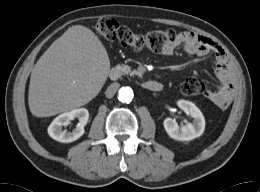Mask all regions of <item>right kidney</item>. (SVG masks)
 <instances>
[{"instance_id":"1","label":"right kidney","mask_w":260,"mask_h":192,"mask_svg":"<svg viewBox=\"0 0 260 192\" xmlns=\"http://www.w3.org/2000/svg\"><path fill=\"white\" fill-rule=\"evenodd\" d=\"M89 118V112L85 108L73 109L57 116L48 127L51 138L62 143H69L79 139L84 134V126ZM78 119L79 123L72 132L63 130L62 126L70 124L71 120Z\"/></svg>"}]
</instances>
